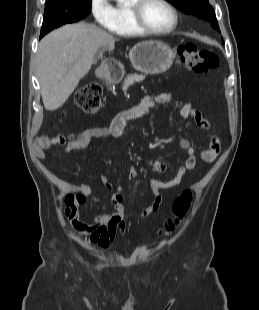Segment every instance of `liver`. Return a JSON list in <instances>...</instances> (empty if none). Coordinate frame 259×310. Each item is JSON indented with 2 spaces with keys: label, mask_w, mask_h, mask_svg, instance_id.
Returning <instances> with one entry per match:
<instances>
[{
  "label": "liver",
  "mask_w": 259,
  "mask_h": 310,
  "mask_svg": "<svg viewBox=\"0 0 259 310\" xmlns=\"http://www.w3.org/2000/svg\"><path fill=\"white\" fill-rule=\"evenodd\" d=\"M116 41L111 34L86 23L66 25L46 35L36 56L45 109L61 107L90 71L97 51H112Z\"/></svg>",
  "instance_id": "6515ba94"
}]
</instances>
